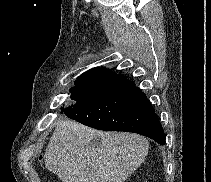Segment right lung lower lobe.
I'll list each match as a JSON object with an SVG mask.
<instances>
[{
	"mask_svg": "<svg viewBox=\"0 0 211 182\" xmlns=\"http://www.w3.org/2000/svg\"><path fill=\"white\" fill-rule=\"evenodd\" d=\"M76 104L63 109L67 117L105 131H127L165 144L164 130L146 95L125 77L93 68L77 80L71 95Z\"/></svg>",
	"mask_w": 211,
	"mask_h": 182,
	"instance_id": "1",
	"label": "right lung lower lobe"
}]
</instances>
